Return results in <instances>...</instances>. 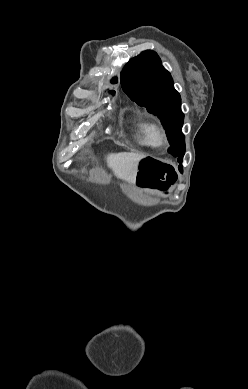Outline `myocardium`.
I'll list each match as a JSON object with an SVG mask.
<instances>
[{
  "label": "myocardium",
  "instance_id": "1",
  "mask_svg": "<svg viewBox=\"0 0 248 389\" xmlns=\"http://www.w3.org/2000/svg\"><path fill=\"white\" fill-rule=\"evenodd\" d=\"M167 142L166 134L162 129H157L154 137V143L156 146H164Z\"/></svg>",
  "mask_w": 248,
  "mask_h": 389
}]
</instances>
